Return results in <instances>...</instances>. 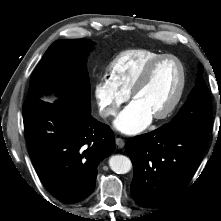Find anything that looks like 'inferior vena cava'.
Listing matches in <instances>:
<instances>
[{
    "label": "inferior vena cava",
    "instance_id": "obj_1",
    "mask_svg": "<svg viewBox=\"0 0 221 221\" xmlns=\"http://www.w3.org/2000/svg\"><path fill=\"white\" fill-rule=\"evenodd\" d=\"M101 117H107L108 115H110L112 113L111 109H104L102 111L99 112Z\"/></svg>",
    "mask_w": 221,
    "mask_h": 221
}]
</instances>
